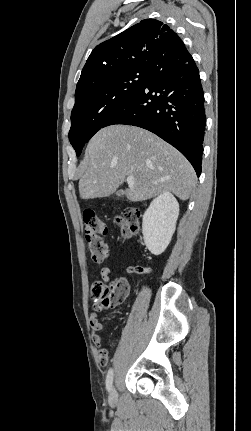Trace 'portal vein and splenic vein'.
Returning a JSON list of instances; mask_svg holds the SVG:
<instances>
[{"label": "portal vein and splenic vein", "instance_id": "obj_1", "mask_svg": "<svg viewBox=\"0 0 251 431\" xmlns=\"http://www.w3.org/2000/svg\"><path fill=\"white\" fill-rule=\"evenodd\" d=\"M126 181H127L128 184H133L134 181H135V178L133 176H128L127 179H126Z\"/></svg>", "mask_w": 251, "mask_h": 431}]
</instances>
